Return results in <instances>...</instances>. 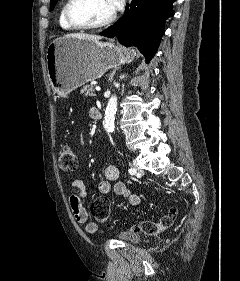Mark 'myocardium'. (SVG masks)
<instances>
[{
	"instance_id": "f54148a6",
	"label": "myocardium",
	"mask_w": 240,
	"mask_h": 281,
	"mask_svg": "<svg viewBox=\"0 0 240 281\" xmlns=\"http://www.w3.org/2000/svg\"><path fill=\"white\" fill-rule=\"evenodd\" d=\"M77 0H67L64 8V16L67 23L75 29H98L112 23L116 18V13L113 12L108 18L97 23H86L77 20L72 14V8Z\"/></svg>"
}]
</instances>
